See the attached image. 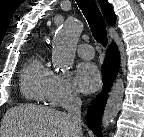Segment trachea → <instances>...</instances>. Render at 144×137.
<instances>
[{"mask_svg": "<svg viewBox=\"0 0 144 137\" xmlns=\"http://www.w3.org/2000/svg\"><path fill=\"white\" fill-rule=\"evenodd\" d=\"M77 4L86 17L95 40L107 45V31L104 18L94 0H77Z\"/></svg>", "mask_w": 144, "mask_h": 137, "instance_id": "3493384b", "label": "trachea"}]
</instances>
